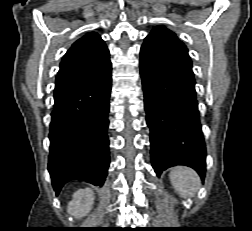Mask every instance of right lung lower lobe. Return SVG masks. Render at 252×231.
Here are the masks:
<instances>
[{
    "mask_svg": "<svg viewBox=\"0 0 252 231\" xmlns=\"http://www.w3.org/2000/svg\"><path fill=\"white\" fill-rule=\"evenodd\" d=\"M111 82L110 71L54 98L48 170L56 195L72 180L104 184L109 167L106 132Z\"/></svg>",
    "mask_w": 252,
    "mask_h": 231,
    "instance_id": "right-lung-lower-lobe-1",
    "label": "right lung lower lobe"
}]
</instances>
